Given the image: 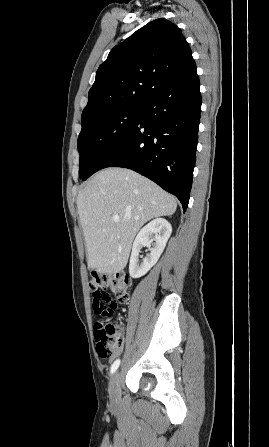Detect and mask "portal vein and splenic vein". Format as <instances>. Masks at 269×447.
<instances>
[{"mask_svg": "<svg viewBox=\"0 0 269 447\" xmlns=\"http://www.w3.org/2000/svg\"><path fill=\"white\" fill-rule=\"evenodd\" d=\"M113 220H114V222H119L120 218H119V216H113Z\"/></svg>", "mask_w": 269, "mask_h": 447, "instance_id": "1", "label": "portal vein and splenic vein"}]
</instances>
